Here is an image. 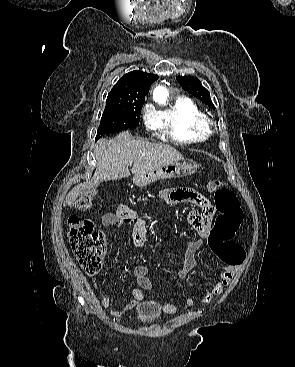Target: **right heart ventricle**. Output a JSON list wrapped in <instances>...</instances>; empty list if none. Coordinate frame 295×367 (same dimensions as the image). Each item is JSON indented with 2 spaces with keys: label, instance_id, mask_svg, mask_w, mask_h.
I'll return each instance as SVG.
<instances>
[{
  "label": "right heart ventricle",
  "instance_id": "1",
  "mask_svg": "<svg viewBox=\"0 0 295 367\" xmlns=\"http://www.w3.org/2000/svg\"><path fill=\"white\" fill-rule=\"evenodd\" d=\"M154 118L160 133L174 142L197 143L210 135L207 115L189 98L177 99L168 110Z\"/></svg>",
  "mask_w": 295,
  "mask_h": 367
}]
</instances>
